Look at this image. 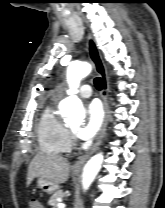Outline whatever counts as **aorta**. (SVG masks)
Listing matches in <instances>:
<instances>
[{
  "mask_svg": "<svg viewBox=\"0 0 165 208\" xmlns=\"http://www.w3.org/2000/svg\"><path fill=\"white\" fill-rule=\"evenodd\" d=\"M92 70L87 62L71 63L68 67L67 78L70 89L68 97L63 99L59 108L66 121L82 120L85 117L82 102L76 96L81 79L86 77ZM104 156L102 153L94 155L84 166L82 173V187L87 191L101 169Z\"/></svg>",
  "mask_w": 165,
  "mask_h": 208,
  "instance_id": "1",
  "label": "aorta"
}]
</instances>
